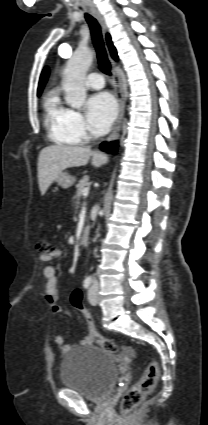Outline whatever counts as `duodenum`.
I'll return each mask as SVG.
<instances>
[{
    "instance_id": "410a0bca",
    "label": "duodenum",
    "mask_w": 208,
    "mask_h": 425,
    "mask_svg": "<svg viewBox=\"0 0 208 425\" xmlns=\"http://www.w3.org/2000/svg\"><path fill=\"white\" fill-rule=\"evenodd\" d=\"M80 243H81L82 245H87V244L89 243V233H88V231L84 230V231L81 233V236H80Z\"/></svg>"
}]
</instances>
